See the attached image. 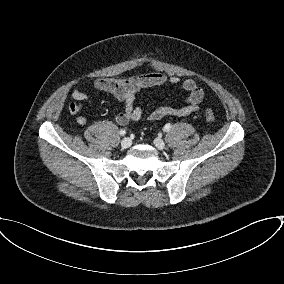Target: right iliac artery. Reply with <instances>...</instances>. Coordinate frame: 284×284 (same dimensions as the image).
<instances>
[{
  "mask_svg": "<svg viewBox=\"0 0 284 284\" xmlns=\"http://www.w3.org/2000/svg\"><path fill=\"white\" fill-rule=\"evenodd\" d=\"M119 133H120V135H125V134H126V131H125L124 129H121V130L119 131Z\"/></svg>",
  "mask_w": 284,
  "mask_h": 284,
  "instance_id": "right-iliac-artery-1",
  "label": "right iliac artery"
}]
</instances>
